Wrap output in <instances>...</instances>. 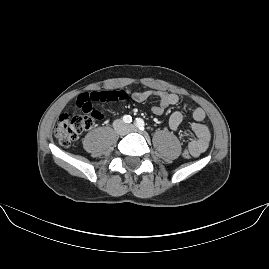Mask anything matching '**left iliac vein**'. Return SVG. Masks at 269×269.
I'll list each match as a JSON object with an SVG mask.
<instances>
[{
	"label": "left iliac vein",
	"mask_w": 269,
	"mask_h": 269,
	"mask_svg": "<svg viewBox=\"0 0 269 269\" xmlns=\"http://www.w3.org/2000/svg\"><path fill=\"white\" fill-rule=\"evenodd\" d=\"M129 130L135 132L136 131V127L134 125H130Z\"/></svg>",
	"instance_id": "1"
}]
</instances>
